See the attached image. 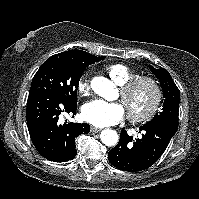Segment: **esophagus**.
Returning a JSON list of instances; mask_svg holds the SVG:
<instances>
[{"label": "esophagus", "instance_id": "1", "mask_svg": "<svg viewBox=\"0 0 199 199\" xmlns=\"http://www.w3.org/2000/svg\"><path fill=\"white\" fill-rule=\"evenodd\" d=\"M100 131H101L100 128L91 127V132H92V133H98V132H100Z\"/></svg>", "mask_w": 199, "mask_h": 199}]
</instances>
